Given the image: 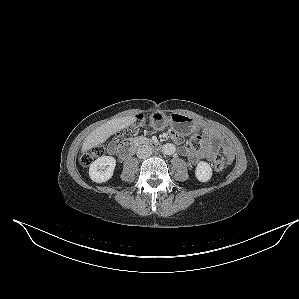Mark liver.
Returning a JSON list of instances; mask_svg holds the SVG:
<instances>
[{
    "label": "liver",
    "instance_id": "liver-1",
    "mask_svg": "<svg viewBox=\"0 0 299 299\" xmlns=\"http://www.w3.org/2000/svg\"><path fill=\"white\" fill-rule=\"evenodd\" d=\"M136 122L135 116H127L107 121L95 130H93L84 140L82 153L104 143L111 135L128 128Z\"/></svg>",
    "mask_w": 299,
    "mask_h": 299
}]
</instances>
